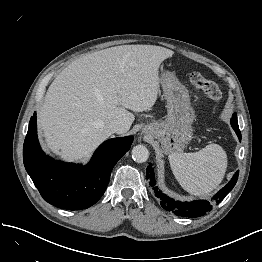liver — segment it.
Segmentation results:
<instances>
[{"instance_id": "liver-1", "label": "liver", "mask_w": 262, "mask_h": 262, "mask_svg": "<svg viewBox=\"0 0 262 262\" xmlns=\"http://www.w3.org/2000/svg\"><path fill=\"white\" fill-rule=\"evenodd\" d=\"M173 54L161 46L122 45L73 61L52 82L39 109L46 146L74 161L111 135L106 124L119 122L126 133L135 119L132 112L155 104L160 64Z\"/></svg>"}]
</instances>
